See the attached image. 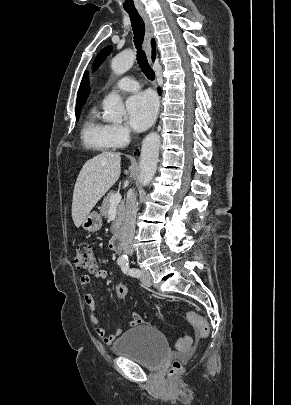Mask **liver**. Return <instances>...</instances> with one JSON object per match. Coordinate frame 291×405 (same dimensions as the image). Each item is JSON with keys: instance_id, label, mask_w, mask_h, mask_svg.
<instances>
[{"instance_id": "obj_1", "label": "liver", "mask_w": 291, "mask_h": 405, "mask_svg": "<svg viewBox=\"0 0 291 405\" xmlns=\"http://www.w3.org/2000/svg\"><path fill=\"white\" fill-rule=\"evenodd\" d=\"M120 162V153L105 151L83 165L74 186L72 201V218L77 228L119 179Z\"/></svg>"}]
</instances>
